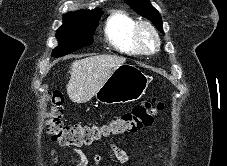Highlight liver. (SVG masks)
Wrapping results in <instances>:
<instances>
[{
	"instance_id": "obj_1",
	"label": "liver",
	"mask_w": 227,
	"mask_h": 166,
	"mask_svg": "<svg viewBox=\"0 0 227 166\" xmlns=\"http://www.w3.org/2000/svg\"><path fill=\"white\" fill-rule=\"evenodd\" d=\"M126 61L116 55H95L76 60L70 66L67 94L75 103L91 100L110 75Z\"/></svg>"
}]
</instances>
